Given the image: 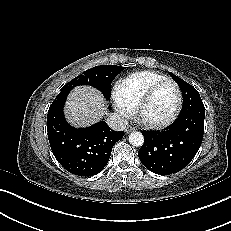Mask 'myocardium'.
<instances>
[{"label": "myocardium", "instance_id": "obj_1", "mask_svg": "<svg viewBox=\"0 0 231 231\" xmlns=\"http://www.w3.org/2000/svg\"><path fill=\"white\" fill-rule=\"evenodd\" d=\"M166 83H170L172 84L175 89H176V93H177V101H176V105L172 111V113L165 119L160 120V121H152V120H148L146 118L143 117L142 115V111L146 105V103L148 102V100L150 99V97L153 95V93L163 84ZM182 105V93L180 90L179 85L170 78H165L160 80L159 82L155 83L154 85H152L144 94L143 96L140 98V100L138 101V103L136 104L135 110H134V117L135 119L142 125L149 127V128H162L165 127L167 125H169L178 115L180 108Z\"/></svg>", "mask_w": 231, "mask_h": 231}]
</instances>
